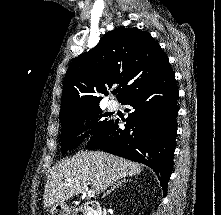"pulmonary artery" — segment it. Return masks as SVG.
Listing matches in <instances>:
<instances>
[{"mask_svg": "<svg viewBox=\"0 0 221 215\" xmlns=\"http://www.w3.org/2000/svg\"><path fill=\"white\" fill-rule=\"evenodd\" d=\"M108 108L112 111L116 110L117 109V103L113 100L109 101L108 102Z\"/></svg>", "mask_w": 221, "mask_h": 215, "instance_id": "pulmonary-artery-1", "label": "pulmonary artery"}]
</instances>
